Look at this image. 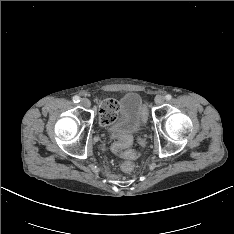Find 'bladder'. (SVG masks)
I'll use <instances>...</instances> for the list:
<instances>
[{
    "label": "bladder",
    "mask_w": 234,
    "mask_h": 234,
    "mask_svg": "<svg viewBox=\"0 0 234 234\" xmlns=\"http://www.w3.org/2000/svg\"><path fill=\"white\" fill-rule=\"evenodd\" d=\"M147 122V113L141 95L137 92L124 94L118 107L117 119L109 130L115 135H134L143 131Z\"/></svg>",
    "instance_id": "1"
}]
</instances>
